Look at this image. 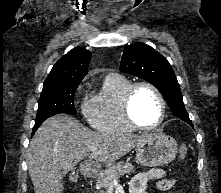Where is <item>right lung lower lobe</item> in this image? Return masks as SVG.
<instances>
[{
    "label": "right lung lower lobe",
    "instance_id": "1",
    "mask_svg": "<svg viewBox=\"0 0 221 193\" xmlns=\"http://www.w3.org/2000/svg\"><path fill=\"white\" fill-rule=\"evenodd\" d=\"M42 123H39V124H35L34 127H33V130H32V135L35 133V131L39 128V126L41 125Z\"/></svg>",
    "mask_w": 221,
    "mask_h": 193
}]
</instances>
